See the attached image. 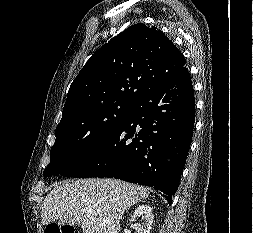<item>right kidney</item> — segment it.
Returning <instances> with one entry per match:
<instances>
[{"instance_id":"1","label":"right kidney","mask_w":253,"mask_h":233,"mask_svg":"<svg viewBox=\"0 0 253 233\" xmlns=\"http://www.w3.org/2000/svg\"><path fill=\"white\" fill-rule=\"evenodd\" d=\"M138 217H141L142 224H137L136 233H150L154 218L152 214V208L149 205L138 206L133 212L131 220L134 221Z\"/></svg>"}]
</instances>
